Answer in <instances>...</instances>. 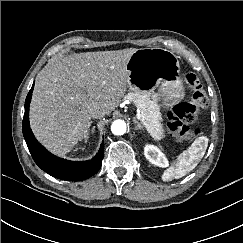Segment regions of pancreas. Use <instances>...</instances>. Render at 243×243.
<instances>
[{"label":"pancreas","mask_w":243,"mask_h":243,"mask_svg":"<svg viewBox=\"0 0 243 243\" xmlns=\"http://www.w3.org/2000/svg\"><path fill=\"white\" fill-rule=\"evenodd\" d=\"M125 99L132 100L143 117V124L154 140L165 137L161 124L159 107L151 100L150 95L144 91L129 92Z\"/></svg>","instance_id":"obj_1"}]
</instances>
